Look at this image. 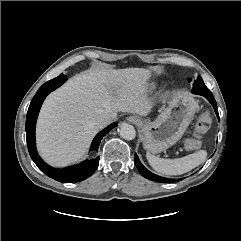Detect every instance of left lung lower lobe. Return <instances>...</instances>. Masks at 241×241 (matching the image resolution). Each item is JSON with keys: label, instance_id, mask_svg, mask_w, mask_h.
I'll list each match as a JSON object with an SVG mask.
<instances>
[{"label": "left lung lower lobe", "instance_id": "1", "mask_svg": "<svg viewBox=\"0 0 241 241\" xmlns=\"http://www.w3.org/2000/svg\"><path fill=\"white\" fill-rule=\"evenodd\" d=\"M193 89H192V93L194 94H198V95H202L204 96L206 99H208V101L211 103V105L213 106L217 117L219 118L218 115V110H217V104L216 101L212 95V93L210 92V90L206 87H204L203 85L198 84L197 82H194L193 84ZM135 165L138 169V171L140 172V174L142 176H144L145 178L152 180V181H156V182H166V183H170V182H177V181H181V179H169V178H165V177H160L157 176L153 173H151L149 170H147L140 162L138 156L135 154Z\"/></svg>", "mask_w": 241, "mask_h": 241}]
</instances>
